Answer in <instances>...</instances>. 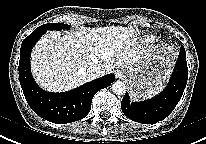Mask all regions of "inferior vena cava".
Returning a JSON list of instances; mask_svg holds the SVG:
<instances>
[{
	"label": "inferior vena cava",
	"mask_w": 206,
	"mask_h": 144,
	"mask_svg": "<svg viewBox=\"0 0 206 144\" xmlns=\"http://www.w3.org/2000/svg\"><path fill=\"white\" fill-rule=\"evenodd\" d=\"M86 75L88 79L93 80L103 75V71L100 67L91 66L87 69Z\"/></svg>",
	"instance_id": "602c4592"
}]
</instances>
